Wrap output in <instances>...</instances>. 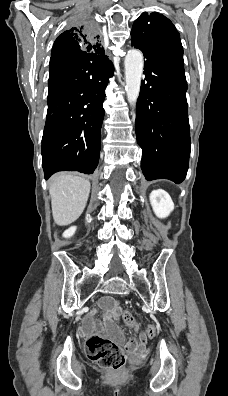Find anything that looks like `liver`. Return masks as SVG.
<instances>
[{"mask_svg": "<svg viewBox=\"0 0 228 396\" xmlns=\"http://www.w3.org/2000/svg\"><path fill=\"white\" fill-rule=\"evenodd\" d=\"M49 193L54 222L59 226L69 225L85 209L90 182L72 174L59 173L52 177Z\"/></svg>", "mask_w": 228, "mask_h": 396, "instance_id": "6515ba94", "label": "liver"}]
</instances>
